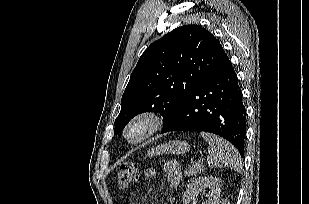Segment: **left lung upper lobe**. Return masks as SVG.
<instances>
[{"label": "left lung upper lobe", "mask_w": 309, "mask_h": 204, "mask_svg": "<svg viewBox=\"0 0 309 204\" xmlns=\"http://www.w3.org/2000/svg\"><path fill=\"white\" fill-rule=\"evenodd\" d=\"M226 56L218 40L198 25L178 27L153 42L140 57L123 93L115 134L143 112H159L165 124Z\"/></svg>", "instance_id": "left-lung-upper-lobe-1"}]
</instances>
